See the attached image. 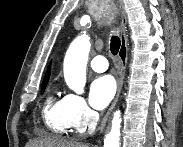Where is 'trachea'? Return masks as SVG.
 Returning <instances> with one entry per match:
<instances>
[{
  "instance_id": "obj_1",
  "label": "trachea",
  "mask_w": 183,
  "mask_h": 147,
  "mask_svg": "<svg viewBox=\"0 0 183 147\" xmlns=\"http://www.w3.org/2000/svg\"><path fill=\"white\" fill-rule=\"evenodd\" d=\"M121 46V41L117 35H113L111 37V42H110V50L113 55H116L119 52Z\"/></svg>"
}]
</instances>
